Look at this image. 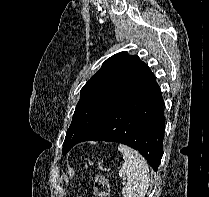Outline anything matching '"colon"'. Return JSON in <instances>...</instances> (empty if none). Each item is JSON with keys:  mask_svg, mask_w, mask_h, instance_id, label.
I'll list each match as a JSON object with an SVG mask.
<instances>
[{"mask_svg": "<svg viewBox=\"0 0 209 197\" xmlns=\"http://www.w3.org/2000/svg\"><path fill=\"white\" fill-rule=\"evenodd\" d=\"M94 193L97 197H109L110 184L103 175H96L94 178Z\"/></svg>", "mask_w": 209, "mask_h": 197, "instance_id": "5ec220e1", "label": "colon"}]
</instances>
